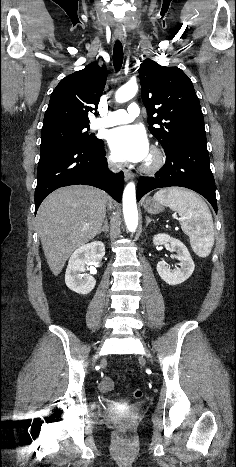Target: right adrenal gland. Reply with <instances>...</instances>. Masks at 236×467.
Segmentation results:
<instances>
[{
    "instance_id": "1",
    "label": "right adrenal gland",
    "mask_w": 236,
    "mask_h": 467,
    "mask_svg": "<svg viewBox=\"0 0 236 467\" xmlns=\"http://www.w3.org/2000/svg\"><path fill=\"white\" fill-rule=\"evenodd\" d=\"M102 232L107 233L109 232V226H108V219H105L103 227L99 230L98 235H100Z\"/></svg>"
}]
</instances>
